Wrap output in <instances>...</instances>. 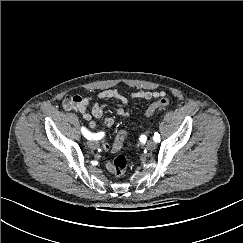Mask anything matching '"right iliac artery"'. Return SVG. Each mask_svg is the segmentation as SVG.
<instances>
[{
	"mask_svg": "<svg viewBox=\"0 0 243 243\" xmlns=\"http://www.w3.org/2000/svg\"><path fill=\"white\" fill-rule=\"evenodd\" d=\"M82 134L85 138H87L88 140H100L103 137V133H96V134H92L90 131H88L86 128L82 127L81 129Z\"/></svg>",
	"mask_w": 243,
	"mask_h": 243,
	"instance_id": "82829eb1",
	"label": "right iliac artery"
}]
</instances>
